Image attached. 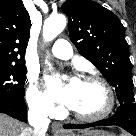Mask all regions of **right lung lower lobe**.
I'll list each match as a JSON object with an SVG mask.
<instances>
[{"label":"right lung lower lobe","mask_w":136,"mask_h":136,"mask_svg":"<svg viewBox=\"0 0 136 136\" xmlns=\"http://www.w3.org/2000/svg\"><path fill=\"white\" fill-rule=\"evenodd\" d=\"M0 113H5L22 122L27 120V108L24 101L22 102H0Z\"/></svg>","instance_id":"1"}]
</instances>
